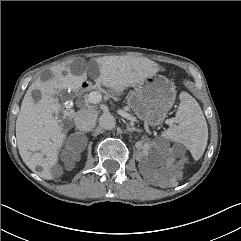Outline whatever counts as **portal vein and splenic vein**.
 Returning a JSON list of instances; mask_svg holds the SVG:
<instances>
[{
  "label": "portal vein and splenic vein",
  "mask_w": 241,
  "mask_h": 241,
  "mask_svg": "<svg viewBox=\"0 0 241 241\" xmlns=\"http://www.w3.org/2000/svg\"><path fill=\"white\" fill-rule=\"evenodd\" d=\"M101 99H102V95L99 92L93 91V92L89 93V101L91 103H94V104L99 103L101 101ZM120 115L123 116L124 118H127V119H133L130 114H128V113H126V112H124L122 110L120 111ZM166 123L168 125L172 126L173 123H174V120L173 119H169V120L166 121Z\"/></svg>",
  "instance_id": "18ae733b"
}]
</instances>
